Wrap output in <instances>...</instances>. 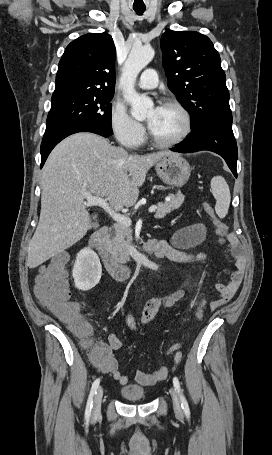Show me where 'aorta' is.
<instances>
[{
  "mask_svg": "<svg viewBox=\"0 0 272 455\" xmlns=\"http://www.w3.org/2000/svg\"><path fill=\"white\" fill-rule=\"evenodd\" d=\"M155 55V51L150 46L134 47L124 64L121 76V84L124 89V99L131 106V115L136 120H144L153 108V101L136 92L134 85L140 71L150 63Z\"/></svg>",
  "mask_w": 272,
  "mask_h": 455,
  "instance_id": "1",
  "label": "aorta"
}]
</instances>
